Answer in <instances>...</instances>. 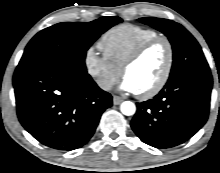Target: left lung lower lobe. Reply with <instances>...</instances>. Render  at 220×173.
Returning a JSON list of instances; mask_svg holds the SVG:
<instances>
[{"instance_id": "0a47b994", "label": "left lung lower lobe", "mask_w": 220, "mask_h": 173, "mask_svg": "<svg viewBox=\"0 0 220 173\" xmlns=\"http://www.w3.org/2000/svg\"><path fill=\"white\" fill-rule=\"evenodd\" d=\"M212 83L211 74L184 76L167 83L153 99L137 103L133 131L158 149L189 140L207 121Z\"/></svg>"}]
</instances>
